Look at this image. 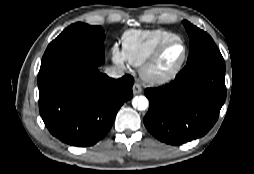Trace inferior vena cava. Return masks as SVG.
<instances>
[{
  "mask_svg": "<svg viewBox=\"0 0 254 174\" xmlns=\"http://www.w3.org/2000/svg\"><path fill=\"white\" fill-rule=\"evenodd\" d=\"M105 73L111 78L118 79L124 75V68L121 66L107 67Z\"/></svg>",
  "mask_w": 254,
  "mask_h": 174,
  "instance_id": "obj_1",
  "label": "inferior vena cava"
}]
</instances>
